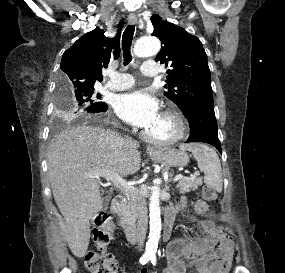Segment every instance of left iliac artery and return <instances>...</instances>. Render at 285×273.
<instances>
[{"label":"left iliac artery","instance_id":"44dca946","mask_svg":"<svg viewBox=\"0 0 285 273\" xmlns=\"http://www.w3.org/2000/svg\"><path fill=\"white\" fill-rule=\"evenodd\" d=\"M150 260H151V263H152L153 265L156 264V256H155V255H151V256H150Z\"/></svg>","mask_w":285,"mask_h":273}]
</instances>
